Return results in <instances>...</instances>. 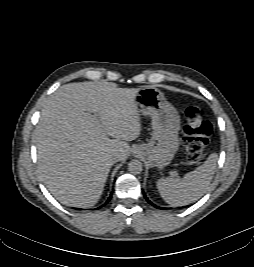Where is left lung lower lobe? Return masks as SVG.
I'll use <instances>...</instances> for the list:
<instances>
[{
    "mask_svg": "<svg viewBox=\"0 0 254 267\" xmlns=\"http://www.w3.org/2000/svg\"><path fill=\"white\" fill-rule=\"evenodd\" d=\"M144 197H145L146 201H147L148 203H150L151 205H153L154 207H156V208H158V209H166V208H162V207H159V206L154 205V204H153V203L146 197L145 194H144Z\"/></svg>",
    "mask_w": 254,
    "mask_h": 267,
    "instance_id": "left-lung-lower-lobe-1",
    "label": "left lung lower lobe"
}]
</instances>
